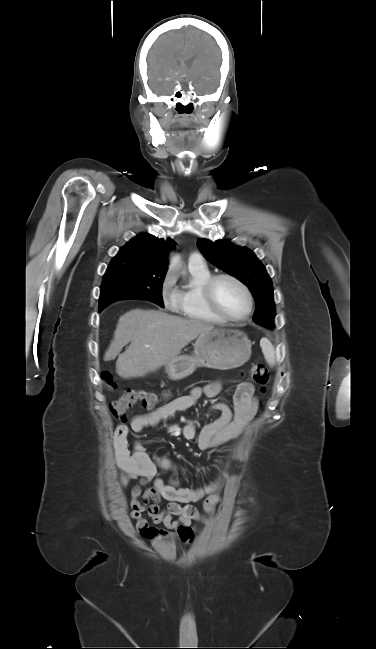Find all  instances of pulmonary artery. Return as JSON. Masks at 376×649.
<instances>
[{"label": "pulmonary artery", "instance_id": "1", "mask_svg": "<svg viewBox=\"0 0 376 649\" xmlns=\"http://www.w3.org/2000/svg\"><path fill=\"white\" fill-rule=\"evenodd\" d=\"M190 264H205L203 256L198 252H193L189 256Z\"/></svg>", "mask_w": 376, "mask_h": 649}]
</instances>
